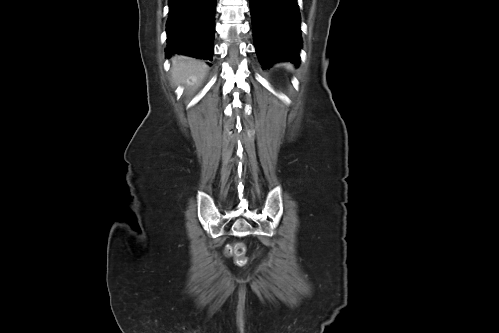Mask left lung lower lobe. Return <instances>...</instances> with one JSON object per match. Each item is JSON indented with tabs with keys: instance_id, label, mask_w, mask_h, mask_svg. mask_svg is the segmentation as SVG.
<instances>
[{
	"instance_id": "0a47b994",
	"label": "left lung lower lobe",
	"mask_w": 499,
	"mask_h": 333,
	"mask_svg": "<svg viewBox=\"0 0 499 333\" xmlns=\"http://www.w3.org/2000/svg\"><path fill=\"white\" fill-rule=\"evenodd\" d=\"M253 38L264 68L278 61L299 64L300 13L297 0H249Z\"/></svg>"
}]
</instances>
